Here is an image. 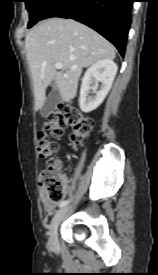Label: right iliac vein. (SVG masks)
I'll list each match as a JSON object with an SVG mask.
<instances>
[{"label": "right iliac vein", "mask_w": 158, "mask_h": 275, "mask_svg": "<svg viewBox=\"0 0 158 275\" xmlns=\"http://www.w3.org/2000/svg\"><path fill=\"white\" fill-rule=\"evenodd\" d=\"M68 208L64 207L59 209L53 216L49 225V243L51 247L57 248L59 245L58 241V226L62 221L63 217L67 213Z\"/></svg>", "instance_id": "obj_1"}]
</instances>
